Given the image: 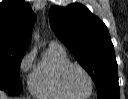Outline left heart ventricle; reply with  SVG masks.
<instances>
[{
	"label": "left heart ventricle",
	"instance_id": "left-heart-ventricle-1",
	"mask_svg": "<svg viewBox=\"0 0 128 99\" xmlns=\"http://www.w3.org/2000/svg\"><path fill=\"white\" fill-rule=\"evenodd\" d=\"M65 85L74 95L83 96L89 91V81L86 75L77 67H71L66 72Z\"/></svg>",
	"mask_w": 128,
	"mask_h": 99
}]
</instances>
